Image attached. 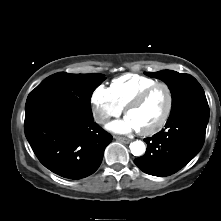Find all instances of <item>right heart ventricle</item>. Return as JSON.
I'll return each instance as SVG.
<instances>
[{"mask_svg": "<svg viewBox=\"0 0 221 221\" xmlns=\"http://www.w3.org/2000/svg\"><path fill=\"white\" fill-rule=\"evenodd\" d=\"M156 82L150 77L125 74L112 80L110 90L117 104L123 109L140 92Z\"/></svg>", "mask_w": 221, "mask_h": 221, "instance_id": "obj_1", "label": "right heart ventricle"}]
</instances>
